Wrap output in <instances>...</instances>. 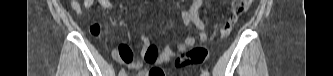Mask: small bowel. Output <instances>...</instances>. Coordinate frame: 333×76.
Returning <instances> with one entry per match:
<instances>
[{
	"label": "small bowel",
	"instance_id": "1",
	"mask_svg": "<svg viewBox=\"0 0 333 76\" xmlns=\"http://www.w3.org/2000/svg\"><path fill=\"white\" fill-rule=\"evenodd\" d=\"M203 0H194L188 10H179L184 26L188 27L194 24L196 32L194 34L186 35L183 40L176 46L167 45L159 50L155 44L147 36L141 37V60L133 61V53L127 43H121L113 50L115 60L122 63H128L130 69L136 71L138 75H144L142 67L144 63H149L146 70V76H168L165 68H161V64L168 63L172 58L180 53L186 51L189 47L193 46L197 40L203 43L207 40V29L200 18L199 9ZM98 5L105 10H111L113 4L110 0H84L82 3L77 0L70 1L71 9L78 15H82L83 8H91ZM90 32L93 34L94 39H101L102 33L98 23L94 22L90 27Z\"/></svg>",
	"mask_w": 333,
	"mask_h": 76
}]
</instances>
